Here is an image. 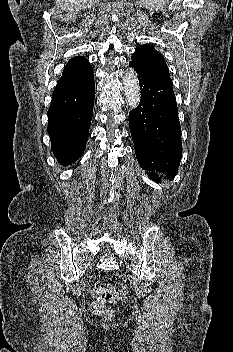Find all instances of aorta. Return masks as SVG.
Wrapping results in <instances>:
<instances>
[{
	"instance_id": "aorta-1",
	"label": "aorta",
	"mask_w": 233,
	"mask_h": 352,
	"mask_svg": "<svg viewBox=\"0 0 233 352\" xmlns=\"http://www.w3.org/2000/svg\"><path fill=\"white\" fill-rule=\"evenodd\" d=\"M124 94L126 103L130 108H136L140 102V87L139 80L134 70L126 71L124 79Z\"/></svg>"
}]
</instances>
